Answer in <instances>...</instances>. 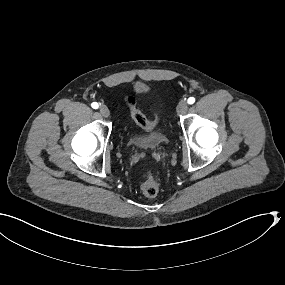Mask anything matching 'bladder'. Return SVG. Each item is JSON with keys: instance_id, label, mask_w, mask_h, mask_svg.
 <instances>
[{"instance_id": "bladder-1", "label": "bladder", "mask_w": 285, "mask_h": 285, "mask_svg": "<svg viewBox=\"0 0 285 285\" xmlns=\"http://www.w3.org/2000/svg\"><path fill=\"white\" fill-rule=\"evenodd\" d=\"M124 138L131 145L155 149L168 141V128L163 122H159L149 133L137 134L127 129Z\"/></svg>"}]
</instances>
